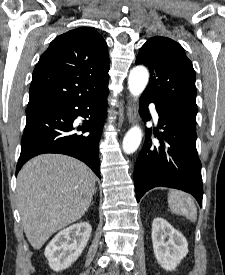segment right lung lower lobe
Masks as SVG:
<instances>
[{"label":"right lung lower lobe","mask_w":225,"mask_h":275,"mask_svg":"<svg viewBox=\"0 0 225 275\" xmlns=\"http://www.w3.org/2000/svg\"><path fill=\"white\" fill-rule=\"evenodd\" d=\"M107 95L108 84L89 97L64 100L26 111L27 121L16 174L26 161L36 155L60 153L83 161L100 178L98 146L107 115ZM77 117L88 120L77 127L73 125Z\"/></svg>","instance_id":"1"}]
</instances>
